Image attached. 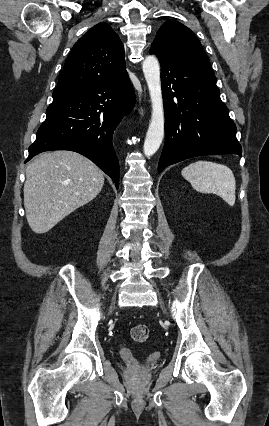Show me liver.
Masks as SVG:
<instances>
[{"label": "liver", "mask_w": 269, "mask_h": 426, "mask_svg": "<svg viewBox=\"0 0 269 426\" xmlns=\"http://www.w3.org/2000/svg\"><path fill=\"white\" fill-rule=\"evenodd\" d=\"M104 185V173L72 151L38 155L26 169L24 207L37 234L51 230L63 218L92 201Z\"/></svg>", "instance_id": "obj_1"}]
</instances>
